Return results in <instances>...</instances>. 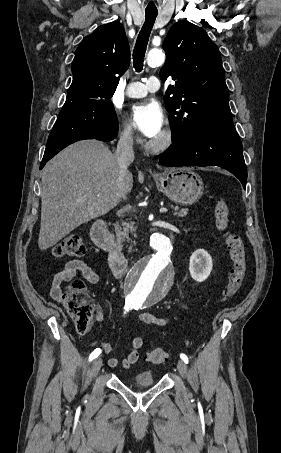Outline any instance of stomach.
<instances>
[{
  "label": "stomach",
  "mask_w": 281,
  "mask_h": 453,
  "mask_svg": "<svg viewBox=\"0 0 281 453\" xmlns=\"http://www.w3.org/2000/svg\"><path fill=\"white\" fill-rule=\"evenodd\" d=\"M155 180L162 192L178 204H193L203 194V180L189 166L167 168L156 174Z\"/></svg>",
  "instance_id": "stomach-1"
}]
</instances>
